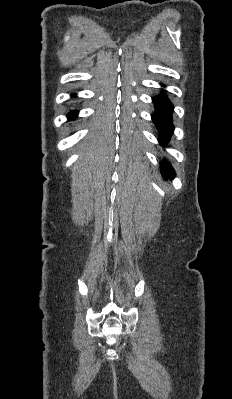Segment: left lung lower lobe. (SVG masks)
I'll list each match as a JSON object with an SVG mask.
<instances>
[{"label":"left lung lower lobe","mask_w":232,"mask_h":399,"mask_svg":"<svg viewBox=\"0 0 232 399\" xmlns=\"http://www.w3.org/2000/svg\"><path fill=\"white\" fill-rule=\"evenodd\" d=\"M153 103L155 105V113L152 114L151 117L160 133L159 142L161 145L165 146L170 140L174 130V125L172 123L174 107L166 95L163 94L153 97ZM160 169L165 180H172L174 178L175 171L168 162L162 161Z\"/></svg>","instance_id":"obj_1"}]
</instances>
